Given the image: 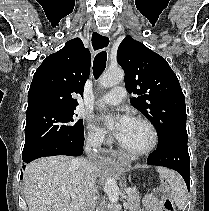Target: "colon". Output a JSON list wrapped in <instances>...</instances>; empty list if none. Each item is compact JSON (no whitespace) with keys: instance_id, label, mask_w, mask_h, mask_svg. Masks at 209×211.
I'll use <instances>...</instances> for the list:
<instances>
[{"instance_id":"5ec220e1","label":"colon","mask_w":209,"mask_h":211,"mask_svg":"<svg viewBox=\"0 0 209 211\" xmlns=\"http://www.w3.org/2000/svg\"><path fill=\"white\" fill-rule=\"evenodd\" d=\"M163 205H164L165 211H176L175 204L170 198H165Z\"/></svg>"}]
</instances>
